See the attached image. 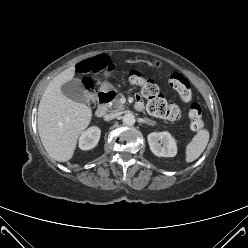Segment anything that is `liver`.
I'll return each mask as SVG.
<instances>
[{"label": "liver", "instance_id": "liver-1", "mask_svg": "<svg viewBox=\"0 0 248 248\" xmlns=\"http://www.w3.org/2000/svg\"><path fill=\"white\" fill-rule=\"evenodd\" d=\"M75 67L71 66L46 87L38 107V132L46 152L59 162L70 160L77 140L89 126L92 110L83 103L73 101L61 92V86L73 79Z\"/></svg>", "mask_w": 248, "mask_h": 248}]
</instances>
